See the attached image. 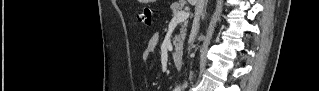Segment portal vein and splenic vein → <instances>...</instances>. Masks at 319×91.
I'll list each match as a JSON object with an SVG mask.
<instances>
[{"label":"portal vein and splenic vein","instance_id":"1","mask_svg":"<svg viewBox=\"0 0 319 91\" xmlns=\"http://www.w3.org/2000/svg\"><path fill=\"white\" fill-rule=\"evenodd\" d=\"M188 17H189V12L180 11L173 16L172 22L181 23L187 20Z\"/></svg>","mask_w":319,"mask_h":91}]
</instances>
